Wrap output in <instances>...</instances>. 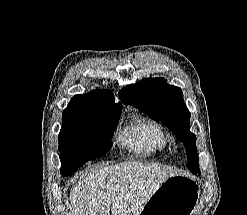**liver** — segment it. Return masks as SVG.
<instances>
[{
  "label": "liver",
  "instance_id": "6515ba94",
  "mask_svg": "<svg viewBox=\"0 0 247 215\" xmlns=\"http://www.w3.org/2000/svg\"><path fill=\"white\" fill-rule=\"evenodd\" d=\"M176 175L170 167L135 161L98 168L70 192V215H139L159 186Z\"/></svg>",
  "mask_w": 247,
  "mask_h": 215
}]
</instances>
